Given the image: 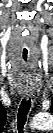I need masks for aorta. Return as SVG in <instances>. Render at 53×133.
Here are the masks:
<instances>
[{
    "label": "aorta",
    "mask_w": 53,
    "mask_h": 133,
    "mask_svg": "<svg viewBox=\"0 0 53 133\" xmlns=\"http://www.w3.org/2000/svg\"><path fill=\"white\" fill-rule=\"evenodd\" d=\"M52 124V116L48 113L37 115L32 122L33 127L36 128H47Z\"/></svg>",
    "instance_id": "762f6f07"
}]
</instances>
